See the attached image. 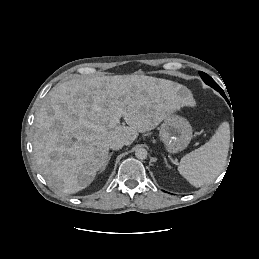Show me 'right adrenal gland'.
Returning a JSON list of instances; mask_svg holds the SVG:
<instances>
[{
    "mask_svg": "<svg viewBox=\"0 0 259 259\" xmlns=\"http://www.w3.org/2000/svg\"><path fill=\"white\" fill-rule=\"evenodd\" d=\"M112 155H113V152H111V153L108 155V157H107V159H106V161H105V164L103 165V167H102V169H101L100 172H103V171L106 169V167H107V165L109 164V161H110Z\"/></svg>",
    "mask_w": 259,
    "mask_h": 259,
    "instance_id": "2a0ac1e0",
    "label": "right adrenal gland"
}]
</instances>
